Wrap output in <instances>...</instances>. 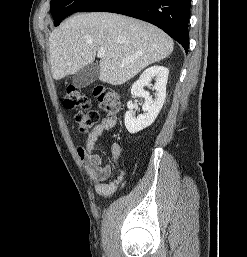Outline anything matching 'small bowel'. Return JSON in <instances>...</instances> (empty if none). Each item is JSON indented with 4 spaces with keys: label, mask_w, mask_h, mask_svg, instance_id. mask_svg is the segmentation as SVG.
Wrapping results in <instances>:
<instances>
[{
    "label": "small bowel",
    "mask_w": 247,
    "mask_h": 257,
    "mask_svg": "<svg viewBox=\"0 0 247 257\" xmlns=\"http://www.w3.org/2000/svg\"><path fill=\"white\" fill-rule=\"evenodd\" d=\"M116 125L113 118H105L96 125L86 136L85 146L77 149L78 156L84 164V167L90 178L95 182L94 188L98 195L102 197L111 196L122 182L124 171L119 165L122 149L119 143L114 142L111 145V156L117 168L118 175L115 179L109 180L111 168L104 164L102 157L96 152L95 145L98 138L105 130Z\"/></svg>",
    "instance_id": "small-bowel-1"
}]
</instances>
